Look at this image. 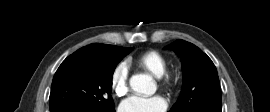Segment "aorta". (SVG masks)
<instances>
[{"instance_id": "762f6f07", "label": "aorta", "mask_w": 270, "mask_h": 112, "mask_svg": "<svg viewBox=\"0 0 270 112\" xmlns=\"http://www.w3.org/2000/svg\"><path fill=\"white\" fill-rule=\"evenodd\" d=\"M131 89L139 94L152 95L156 90V85L152 79L144 74H135L130 78Z\"/></svg>"}]
</instances>
